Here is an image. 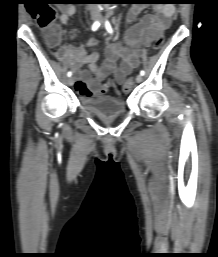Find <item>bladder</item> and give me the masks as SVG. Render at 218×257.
<instances>
[{"label": "bladder", "instance_id": "obj_1", "mask_svg": "<svg viewBox=\"0 0 218 257\" xmlns=\"http://www.w3.org/2000/svg\"><path fill=\"white\" fill-rule=\"evenodd\" d=\"M85 107L89 111L106 118L123 114L126 110L124 100L110 95L86 99Z\"/></svg>", "mask_w": 218, "mask_h": 257}]
</instances>
